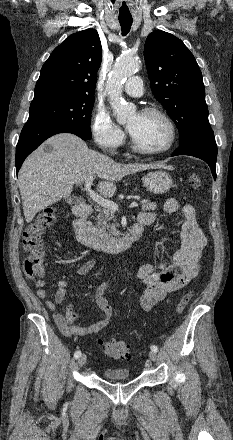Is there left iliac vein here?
Wrapping results in <instances>:
<instances>
[{"label":"left iliac vein","mask_w":233,"mask_h":440,"mask_svg":"<svg viewBox=\"0 0 233 440\" xmlns=\"http://www.w3.org/2000/svg\"><path fill=\"white\" fill-rule=\"evenodd\" d=\"M149 359H150L151 361H156V360H157V353L154 352V351H150V352H149Z\"/></svg>","instance_id":"4c4485c4"}]
</instances>
